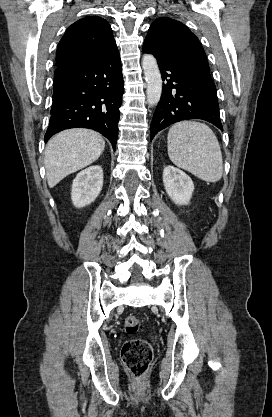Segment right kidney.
<instances>
[{"label": "right kidney", "instance_id": "1", "mask_svg": "<svg viewBox=\"0 0 272 417\" xmlns=\"http://www.w3.org/2000/svg\"><path fill=\"white\" fill-rule=\"evenodd\" d=\"M103 187V170L99 165L90 166L73 180L71 199L77 208L91 204Z\"/></svg>", "mask_w": 272, "mask_h": 417}]
</instances>
